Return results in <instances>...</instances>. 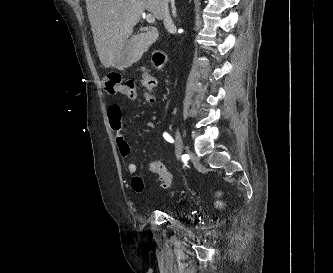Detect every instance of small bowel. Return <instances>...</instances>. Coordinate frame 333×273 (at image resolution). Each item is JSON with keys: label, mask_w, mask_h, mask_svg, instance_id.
<instances>
[{"label": "small bowel", "mask_w": 333, "mask_h": 273, "mask_svg": "<svg viewBox=\"0 0 333 273\" xmlns=\"http://www.w3.org/2000/svg\"><path fill=\"white\" fill-rule=\"evenodd\" d=\"M140 75L142 77V91H145V103L147 105H153L155 99L151 94L152 91H157V84L155 78L152 76V70L149 67H143ZM131 102H138V95H131ZM122 116H121V105L113 104L108 110V119L111 129L116 134V144L120 155L123 158H128L131 154V148L128 141L122 135ZM127 171L133 175L131 179V188L134 192L140 193L144 191V183L141 177L136 175L137 166L135 163L130 162L127 164Z\"/></svg>", "instance_id": "c3829d8e"}]
</instances>
